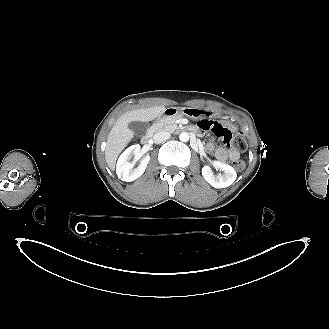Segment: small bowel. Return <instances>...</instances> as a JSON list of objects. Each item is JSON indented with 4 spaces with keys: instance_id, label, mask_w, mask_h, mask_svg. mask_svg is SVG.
Masks as SVG:
<instances>
[{
    "instance_id": "obj_1",
    "label": "small bowel",
    "mask_w": 329,
    "mask_h": 329,
    "mask_svg": "<svg viewBox=\"0 0 329 329\" xmlns=\"http://www.w3.org/2000/svg\"><path fill=\"white\" fill-rule=\"evenodd\" d=\"M195 127L198 130H204L206 133L215 134L225 144L217 148L212 143H209L207 146L209 151L214 152L218 160L225 161L230 159L234 161L239 159L240 153L230 144L234 138L233 132L225 124L215 120H207L205 117H198L195 120Z\"/></svg>"
}]
</instances>
